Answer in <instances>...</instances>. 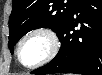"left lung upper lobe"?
Listing matches in <instances>:
<instances>
[{"instance_id":"1","label":"left lung upper lobe","mask_w":102,"mask_h":75,"mask_svg":"<svg viewBox=\"0 0 102 75\" xmlns=\"http://www.w3.org/2000/svg\"><path fill=\"white\" fill-rule=\"evenodd\" d=\"M79 2L80 0H13L8 43L11 53L15 43L31 30L49 27L57 33Z\"/></svg>"}]
</instances>
